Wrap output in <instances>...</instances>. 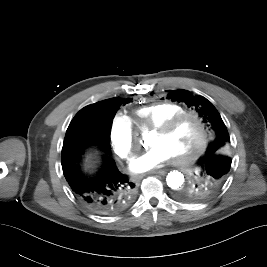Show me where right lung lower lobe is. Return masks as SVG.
I'll list each match as a JSON object with an SVG mask.
<instances>
[{"mask_svg":"<svg viewBox=\"0 0 267 267\" xmlns=\"http://www.w3.org/2000/svg\"><path fill=\"white\" fill-rule=\"evenodd\" d=\"M106 126L102 113L85 112L74 118L63 143L62 169L72 192L84 205L99 214L114 215L134 201L136 184L106 153L94 173H85L81 166L82 155L89 147L102 148Z\"/></svg>","mask_w":267,"mask_h":267,"instance_id":"obj_1","label":"right lung lower lobe"}]
</instances>
